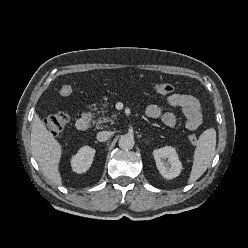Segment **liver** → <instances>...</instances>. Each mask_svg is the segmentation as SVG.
Listing matches in <instances>:
<instances>
[{"mask_svg":"<svg viewBox=\"0 0 248 248\" xmlns=\"http://www.w3.org/2000/svg\"><path fill=\"white\" fill-rule=\"evenodd\" d=\"M30 143L32 154L45 177L52 183L61 185L59 162L62 156V146L47 130L37 114L33 117Z\"/></svg>","mask_w":248,"mask_h":248,"instance_id":"6515ba94","label":"liver"}]
</instances>
